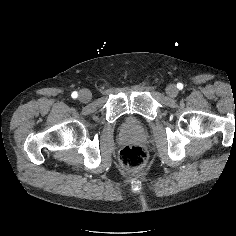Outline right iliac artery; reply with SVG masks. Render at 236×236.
Masks as SVG:
<instances>
[{"instance_id": "right-iliac-artery-1", "label": "right iliac artery", "mask_w": 236, "mask_h": 236, "mask_svg": "<svg viewBox=\"0 0 236 236\" xmlns=\"http://www.w3.org/2000/svg\"><path fill=\"white\" fill-rule=\"evenodd\" d=\"M72 98H77L78 97V93L76 91L72 92L71 94Z\"/></svg>"}]
</instances>
